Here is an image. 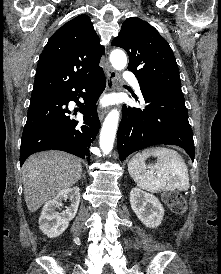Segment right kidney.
Returning <instances> with one entry per match:
<instances>
[{"label":"right kidney","mask_w":221,"mask_h":274,"mask_svg":"<svg viewBox=\"0 0 221 274\" xmlns=\"http://www.w3.org/2000/svg\"><path fill=\"white\" fill-rule=\"evenodd\" d=\"M67 199L71 202L70 206L62 213H58L56 210ZM79 202V187H71L59 192L44 205L39 218L40 230L50 238L62 234L68 228L69 222L75 217Z\"/></svg>","instance_id":"obj_1"}]
</instances>
